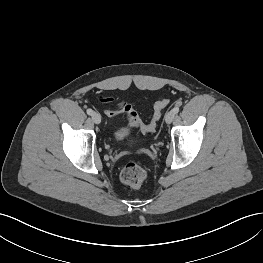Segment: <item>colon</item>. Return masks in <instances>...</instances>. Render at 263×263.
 Segmentation results:
<instances>
[{
    "label": "colon",
    "mask_w": 263,
    "mask_h": 263,
    "mask_svg": "<svg viewBox=\"0 0 263 263\" xmlns=\"http://www.w3.org/2000/svg\"><path fill=\"white\" fill-rule=\"evenodd\" d=\"M106 103L114 102L113 98H105L102 100ZM169 103V99L164 97L159 99L154 104V113L150 123H143L138 117L137 112L134 108L127 102H119L116 104V112L119 114H124L128 119L131 126L138 127L143 132H151L155 129L156 123L161 116L162 111L166 108ZM129 134L128 128H121L118 136L120 138L126 137ZM146 171L135 162H128L124 165L121 171V181L133 188L140 187L146 179Z\"/></svg>",
    "instance_id": "colon-1"
}]
</instances>
